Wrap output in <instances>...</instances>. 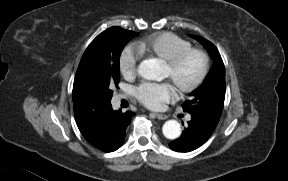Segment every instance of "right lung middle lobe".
<instances>
[{
	"label": "right lung middle lobe",
	"instance_id": "obj_1",
	"mask_svg": "<svg viewBox=\"0 0 288 181\" xmlns=\"http://www.w3.org/2000/svg\"><path fill=\"white\" fill-rule=\"evenodd\" d=\"M137 33L111 27L99 34L86 49L75 78L86 90L110 103L111 87L119 82V58L126 43Z\"/></svg>",
	"mask_w": 288,
	"mask_h": 181
}]
</instances>
